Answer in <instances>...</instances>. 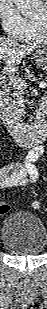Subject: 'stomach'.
<instances>
[{"label":"stomach","instance_id":"1","mask_svg":"<svg viewBox=\"0 0 47 309\" xmlns=\"http://www.w3.org/2000/svg\"><path fill=\"white\" fill-rule=\"evenodd\" d=\"M33 59L38 67L47 70V47L39 50Z\"/></svg>","mask_w":47,"mask_h":309}]
</instances>
